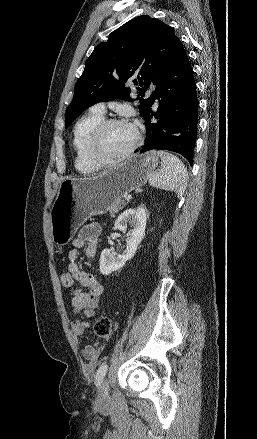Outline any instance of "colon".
Returning <instances> with one entry per match:
<instances>
[{"mask_svg":"<svg viewBox=\"0 0 257 439\" xmlns=\"http://www.w3.org/2000/svg\"><path fill=\"white\" fill-rule=\"evenodd\" d=\"M61 283L64 287H71L74 283V279L67 271L61 275ZM94 333L99 338H109L111 336V321L107 317H100L94 323Z\"/></svg>","mask_w":257,"mask_h":439,"instance_id":"obj_1","label":"colon"}]
</instances>
